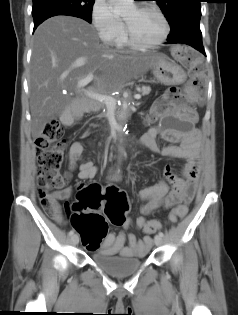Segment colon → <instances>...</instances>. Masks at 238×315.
<instances>
[{"instance_id": "5ec220e1", "label": "colon", "mask_w": 238, "mask_h": 315, "mask_svg": "<svg viewBox=\"0 0 238 315\" xmlns=\"http://www.w3.org/2000/svg\"><path fill=\"white\" fill-rule=\"evenodd\" d=\"M172 55L190 68L194 89L201 95L206 87V67L200 54L192 48L174 46ZM183 100L184 96L179 89L166 91L150 110L149 121L157 120L167 112L169 106L181 104ZM64 148L63 129L57 120H50L36 139L38 197L47 212L52 211L54 193L62 190L67 181L61 173ZM128 211L129 203L123 191L116 187L103 189L101 185L91 183L79 187L77 200L71 205L70 221L81 236L83 245L96 249L106 236L108 222L116 226L123 225ZM186 211L184 204L175 207L169 214V220L178 221ZM160 227V221L150 220L145 224L144 231L154 234Z\"/></svg>"}]
</instances>
